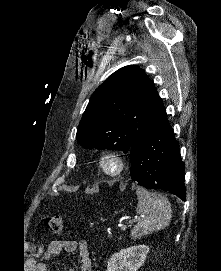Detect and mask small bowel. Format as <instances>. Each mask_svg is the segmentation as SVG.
Masks as SVG:
<instances>
[{
    "label": "small bowel",
    "instance_id": "small-bowel-1",
    "mask_svg": "<svg viewBox=\"0 0 221 271\" xmlns=\"http://www.w3.org/2000/svg\"><path fill=\"white\" fill-rule=\"evenodd\" d=\"M63 251L65 252H78L79 256V271H92V261L88 244L84 240H53L46 248H40L36 257L43 256L45 259L59 256ZM36 271H47L45 264H38L35 268ZM67 271H73L72 268Z\"/></svg>",
    "mask_w": 221,
    "mask_h": 271
}]
</instances>
